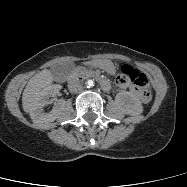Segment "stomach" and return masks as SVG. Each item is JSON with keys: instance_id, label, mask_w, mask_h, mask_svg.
<instances>
[{"instance_id": "obj_1", "label": "stomach", "mask_w": 187, "mask_h": 187, "mask_svg": "<svg viewBox=\"0 0 187 187\" xmlns=\"http://www.w3.org/2000/svg\"><path fill=\"white\" fill-rule=\"evenodd\" d=\"M90 64L96 68H100L110 74H114L116 71V68L113 64V62L109 59L104 58H97L90 62Z\"/></svg>"}]
</instances>
